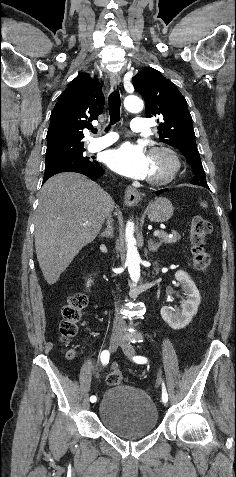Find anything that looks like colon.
I'll return each instance as SVG.
<instances>
[{
    "instance_id": "1",
    "label": "colon",
    "mask_w": 236,
    "mask_h": 477,
    "mask_svg": "<svg viewBox=\"0 0 236 477\" xmlns=\"http://www.w3.org/2000/svg\"><path fill=\"white\" fill-rule=\"evenodd\" d=\"M211 223L202 217L193 220L190 229L191 252L193 263L197 270L206 271L211 264V256L205 248L206 240L211 232ZM87 306V298L78 293L69 296L61 308L62 320L59 325L60 341L68 345L78 333L82 323L83 312ZM69 357H74L75 351L69 350ZM109 386H116L122 382L121 373L113 369L106 377Z\"/></svg>"
}]
</instances>
